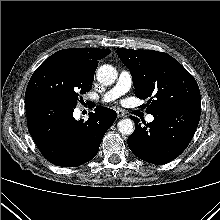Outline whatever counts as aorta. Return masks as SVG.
<instances>
[{
	"label": "aorta",
	"mask_w": 220,
	"mask_h": 220,
	"mask_svg": "<svg viewBox=\"0 0 220 220\" xmlns=\"http://www.w3.org/2000/svg\"><path fill=\"white\" fill-rule=\"evenodd\" d=\"M117 70L109 64H104L97 71V80L103 85H111L117 79ZM118 130L123 135H131L134 132V123L131 119H122L117 124Z\"/></svg>",
	"instance_id": "762f6f07"
}]
</instances>
